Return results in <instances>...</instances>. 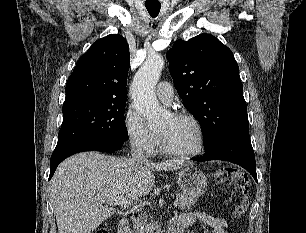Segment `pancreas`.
<instances>
[{"label": "pancreas", "instance_id": "cf45deb5", "mask_svg": "<svg viewBox=\"0 0 306 233\" xmlns=\"http://www.w3.org/2000/svg\"><path fill=\"white\" fill-rule=\"evenodd\" d=\"M177 200H179L181 209L189 208V206L195 204L197 199L191 196H187L184 194H177ZM134 232L135 233H153L155 226L152 224H145L143 220L134 219Z\"/></svg>", "mask_w": 306, "mask_h": 233}]
</instances>
